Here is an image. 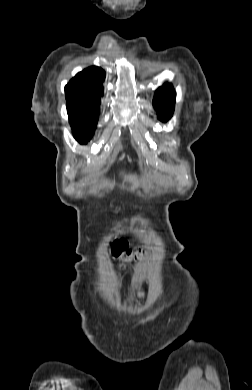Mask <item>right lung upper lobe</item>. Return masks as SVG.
<instances>
[{"label":"right lung upper lobe","mask_w":252,"mask_h":390,"mask_svg":"<svg viewBox=\"0 0 252 390\" xmlns=\"http://www.w3.org/2000/svg\"><path fill=\"white\" fill-rule=\"evenodd\" d=\"M104 79L105 71L99 67H89L79 72L65 86L67 111L99 109Z\"/></svg>","instance_id":"right-lung-upper-lobe-1"}]
</instances>
